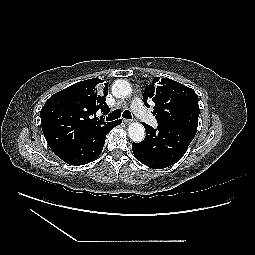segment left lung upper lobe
I'll use <instances>...</instances> for the list:
<instances>
[{
    "label": "left lung upper lobe",
    "mask_w": 255,
    "mask_h": 255,
    "mask_svg": "<svg viewBox=\"0 0 255 255\" xmlns=\"http://www.w3.org/2000/svg\"><path fill=\"white\" fill-rule=\"evenodd\" d=\"M144 104L155 103L153 114L158 124L197 130L200 113L198 96L192 88L169 78H155L143 93Z\"/></svg>",
    "instance_id": "obj_1"
}]
</instances>
